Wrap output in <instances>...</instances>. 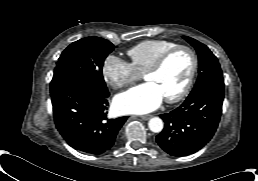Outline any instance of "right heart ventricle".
<instances>
[{
	"mask_svg": "<svg viewBox=\"0 0 258 181\" xmlns=\"http://www.w3.org/2000/svg\"><path fill=\"white\" fill-rule=\"evenodd\" d=\"M178 44L168 40H145L127 51L130 64L139 74H144L157 58Z\"/></svg>",
	"mask_w": 258,
	"mask_h": 181,
	"instance_id": "right-heart-ventricle-1",
	"label": "right heart ventricle"
}]
</instances>
